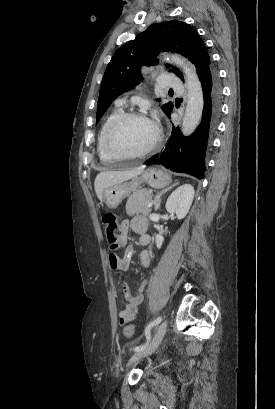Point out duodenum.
<instances>
[{
	"label": "duodenum",
	"mask_w": 275,
	"mask_h": 409,
	"mask_svg": "<svg viewBox=\"0 0 275 409\" xmlns=\"http://www.w3.org/2000/svg\"><path fill=\"white\" fill-rule=\"evenodd\" d=\"M145 230H146V225H144V224H141V225H139L137 227V232H139V233H143V232H145Z\"/></svg>",
	"instance_id": "duodenum-1"
}]
</instances>
